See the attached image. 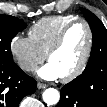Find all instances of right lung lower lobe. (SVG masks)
<instances>
[{
	"instance_id": "right-lung-lower-lobe-1",
	"label": "right lung lower lobe",
	"mask_w": 107,
	"mask_h": 107,
	"mask_svg": "<svg viewBox=\"0 0 107 107\" xmlns=\"http://www.w3.org/2000/svg\"><path fill=\"white\" fill-rule=\"evenodd\" d=\"M36 81L17 64L0 65V107H18L20 101L36 90Z\"/></svg>"
}]
</instances>
